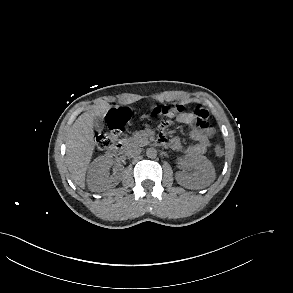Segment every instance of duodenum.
<instances>
[{
    "label": "duodenum",
    "instance_id": "obj_1",
    "mask_svg": "<svg viewBox=\"0 0 293 293\" xmlns=\"http://www.w3.org/2000/svg\"><path fill=\"white\" fill-rule=\"evenodd\" d=\"M126 149H127V142L124 140H120L118 143L115 144V146H113L110 149L109 154L113 156L122 155L125 153Z\"/></svg>",
    "mask_w": 293,
    "mask_h": 293
}]
</instances>
